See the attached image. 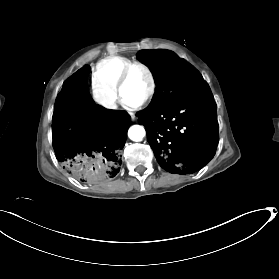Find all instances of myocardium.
Listing matches in <instances>:
<instances>
[{
    "instance_id": "myocardium-1",
    "label": "myocardium",
    "mask_w": 279,
    "mask_h": 279,
    "mask_svg": "<svg viewBox=\"0 0 279 279\" xmlns=\"http://www.w3.org/2000/svg\"><path fill=\"white\" fill-rule=\"evenodd\" d=\"M134 68H140V69L144 70L150 80V89H149L147 95L141 102H139L137 104L138 107H141V106L147 104L149 101H151L156 93V78H155L152 70L146 64H144L142 62H138V61H133V62L129 63L128 65H126L118 77L117 92H118L119 96L121 97V99H123V92H124L125 85L127 83V79L129 77L130 72Z\"/></svg>"
}]
</instances>
